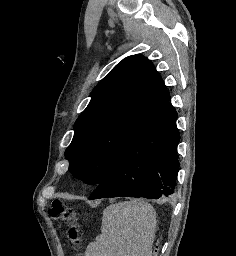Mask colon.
Listing matches in <instances>:
<instances>
[{"label":"colon","mask_w":236,"mask_h":256,"mask_svg":"<svg viewBox=\"0 0 236 256\" xmlns=\"http://www.w3.org/2000/svg\"><path fill=\"white\" fill-rule=\"evenodd\" d=\"M48 216L55 222H67L69 224L66 230V236L72 244L76 256H83L81 251V241L79 228L77 226L78 215L64 201L55 199L47 209Z\"/></svg>","instance_id":"1"}]
</instances>
